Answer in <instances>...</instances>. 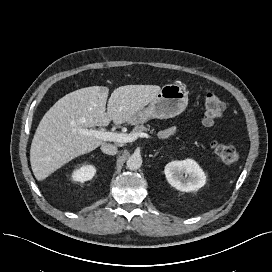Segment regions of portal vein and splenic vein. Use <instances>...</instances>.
Returning a JSON list of instances; mask_svg holds the SVG:
<instances>
[{"label":"portal vein and splenic vein","instance_id":"portal-vein-and-splenic-vein-1","mask_svg":"<svg viewBox=\"0 0 272 272\" xmlns=\"http://www.w3.org/2000/svg\"><path fill=\"white\" fill-rule=\"evenodd\" d=\"M79 133L86 135V136H93L103 141H114L118 143H129L133 142L138 139V137L142 138H151V136L145 132L139 133H114V132H107L103 129H78Z\"/></svg>","mask_w":272,"mask_h":272}]
</instances>
